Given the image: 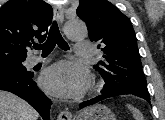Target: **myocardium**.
Instances as JSON below:
<instances>
[{"label": "myocardium", "instance_id": "1", "mask_svg": "<svg viewBox=\"0 0 165 120\" xmlns=\"http://www.w3.org/2000/svg\"><path fill=\"white\" fill-rule=\"evenodd\" d=\"M99 87H100L99 84H94V85H92V90H93V91H94V90H97Z\"/></svg>", "mask_w": 165, "mask_h": 120}]
</instances>
